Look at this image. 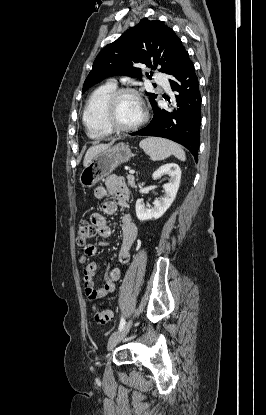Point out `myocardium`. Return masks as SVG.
Wrapping results in <instances>:
<instances>
[{"label": "myocardium", "mask_w": 266, "mask_h": 415, "mask_svg": "<svg viewBox=\"0 0 266 415\" xmlns=\"http://www.w3.org/2000/svg\"><path fill=\"white\" fill-rule=\"evenodd\" d=\"M125 94H131L135 96L139 100L142 106V116L140 120L137 123L130 125V126H124V125L119 124L115 116L116 104L119 98ZM104 114H105V120L107 124L113 131H116V132L135 131L139 129L142 125H144L146 121L148 120V111L146 107L144 106L139 93L135 89L129 88V87L118 88L109 96L105 104Z\"/></svg>", "instance_id": "1"}]
</instances>
